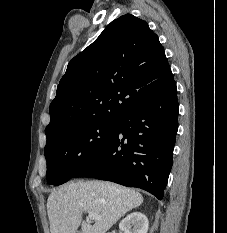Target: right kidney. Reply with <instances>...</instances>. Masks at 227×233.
Listing matches in <instances>:
<instances>
[{"label":"right kidney","instance_id":"ca27d5eb","mask_svg":"<svg viewBox=\"0 0 227 233\" xmlns=\"http://www.w3.org/2000/svg\"><path fill=\"white\" fill-rule=\"evenodd\" d=\"M149 221L141 212H133L127 215L119 224L123 233H147Z\"/></svg>","mask_w":227,"mask_h":233}]
</instances>
